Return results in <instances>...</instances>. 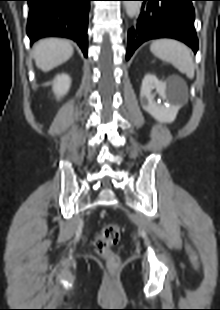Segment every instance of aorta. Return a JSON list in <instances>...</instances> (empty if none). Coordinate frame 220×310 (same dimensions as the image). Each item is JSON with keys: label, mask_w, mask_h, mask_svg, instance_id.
<instances>
[{"label": "aorta", "mask_w": 220, "mask_h": 310, "mask_svg": "<svg viewBox=\"0 0 220 310\" xmlns=\"http://www.w3.org/2000/svg\"><path fill=\"white\" fill-rule=\"evenodd\" d=\"M124 6H125L127 15L133 18L140 11L141 1H125Z\"/></svg>", "instance_id": "1"}]
</instances>
